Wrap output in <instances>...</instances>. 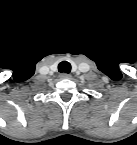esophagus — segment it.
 I'll return each instance as SVG.
<instances>
[{
  "label": "esophagus",
  "instance_id": "1",
  "mask_svg": "<svg viewBox=\"0 0 137 145\" xmlns=\"http://www.w3.org/2000/svg\"><path fill=\"white\" fill-rule=\"evenodd\" d=\"M60 78L61 79H70L71 78V75L70 74H67V73H61L60 74Z\"/></svg>",
  "mask_w": 137,
  "mask_h": 145
}]
</instances>
